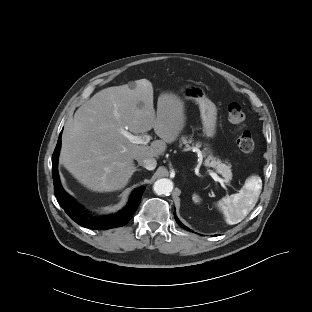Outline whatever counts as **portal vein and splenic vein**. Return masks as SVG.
<instances>
[{
  "mask_svg": "<svg viewBox=\"0 0 312 312\" xmlns=\"http://www.w3.org/2000/svg\"><path fill=\"white\" fill-rule=\"evenodd\" d=\"M122 134L124 135V137H126L131 143H135V144H143L146 145L147 143H149L151 137L149 135H144V136H135L133 134H131L130 132L123 130ZM210 175L212 176V178L216 181L219 182L221 184L222 187H225V180L220 178L215 172L211 171Z\"/></svg>",
  "mask_w": 312,
  "mask_h": 312,
  "instance_id": "portal-vein-and-splenic-vein-1",
  "label": "portal vein and splenic vein"
}]
</instances>
